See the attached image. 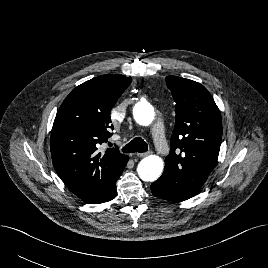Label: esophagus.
Instances as JSON below:
<instances>
[{"instance_id": "esophagus-1", "label": "esophagus", "mask_w": 268, "mask_h": 268, "mask_svg": "<svg viewBox=\"0 0 268 268\" xmlns=\"http://www.w3.org/2000/svg\"><path fill=\"white\" fill-rule=\"evenodd\" d=\"M150 153H151V152L148 151V152H143V153H137L136 155H137L138 157L142 158V157L148 156Z\"/></svg>"}]
</instances>
